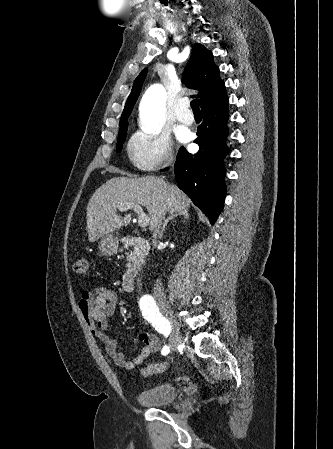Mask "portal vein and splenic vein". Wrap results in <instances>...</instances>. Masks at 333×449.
Listing matches in <instances>:
<instances>
[{
  "label": "portal vein and splenic vein",
  "instance_id": "portal-vein-and-splenic-vein-1",
  "mask_svg": "<svg viewBox=\"0 0 333 449\" xmlns=\"http://www.w3.org/2000/svg\"><path fill=\"white\" fill-rule=\"evenodd\" d=\"M120 211H125L128 209H133L134 212L137 214L138 216V224L140 227L144 228L146 226H148L149 222H150V218L143 212L142 207L137 204V203H127L123 206H119L118 208Z\"/></svg>",
  "mask_w": 333,
  "mask_h": 449
}]
</instances>
